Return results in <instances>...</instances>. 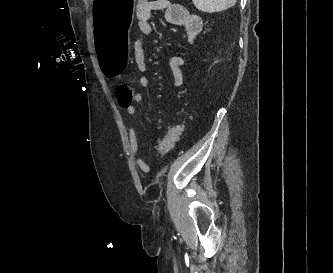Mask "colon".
Instances as JSON below:
<instances>
[{
  "label": "colon",
  "mask_w": 333,
  "mask_h": 273,
  "mask_svg": "<svg viewBox=\"0 0 333 273\" xmlns=\"http://www.w3.org/2000/svg\"><path fill=\"white\" fill-rule=\"evenodd\" d=\"M118 104L121 108L127 109L132 106L134 101L133 89L128 84H120L117 89ZM183 131L182 124H175L168 128L166 134L158 141L156 146L159 155L168 154L176 145L181 132Z\"/></svg>",
  "instance_id": "obj_1"
}]
</instances>
